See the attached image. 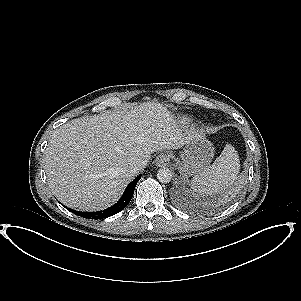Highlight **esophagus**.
I'll return each instance as SVG.
<instances>
[{"label":"esophagus","mask_w":301,"mask_h":301,"mask_svg":"<svg viewBox=\"0 0 301 301\" xmlns=\"http://www.w3.org/2000/svg\"><path fill=\"white\" fill-rule=\"evenodd\" d=\"M155 164L158 167H166L170 164V156L166 153L159 154L155 159Z\"/></svg>","instance_id":"obj_1"}]
</instances>
